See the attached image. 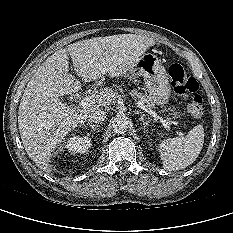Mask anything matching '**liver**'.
Here are the masks:
<instances>
[{
    "mask_svg": "<svg viewBox=\"0 0 233 233\" xmlns=\"http://www.w3.org/2000/svg\"><path fill=\"white\" fill-rule=\"evenodd\" d=\"M155 41L143 35L119 34L86 39L59 49L39 66L28 82L18 110L23 146L38 168L52 172L51 154L64 137L84 124L91 111L108 107L114 99L110 89L101 90L97 103L73 109L59 98L81 89L69 73V55L78 76L85 82L106 74L111 79L125 75Z\"/></svg>",
    "mask_w": 233,
    "mask_h": 233,
    "instance_id": "liver-1",
    "label": "liver"
}]
</instances>
